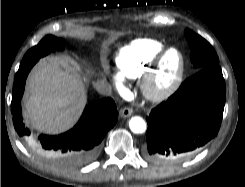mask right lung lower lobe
<instances>
[{"label": "right lung lower lobe", "instance_id": "obj_1", "mask_svg": "<svg viewBox=\"0 0 245 187\" xmlns=\"http://www.w3.org/2000/svg\"><path fill=\"white\" fill-rule=\"evenodd\" d=\"M38 57L22 60L15 76L12 92L11 112L15 130L20 136H29L21 116V98L27 75ZM118 112L111 98L89 103L77 125L70 131L58 135H40L31 138L30 144L42 157L66 166H80L95 159L100 143L106 133L116 124Z\"/></svg>", "mask_w": 245, "mask_h": 187}]
</instances>
